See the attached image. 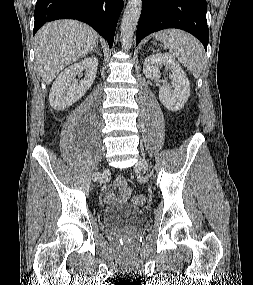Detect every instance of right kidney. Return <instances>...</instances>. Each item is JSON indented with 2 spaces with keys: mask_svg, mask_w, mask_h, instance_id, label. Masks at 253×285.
<instances>
[{
  "mask_svg": "<svg viewBox=\"0 0 253 285\" xmlns=\"http://www.w3.org/2000/svg\"><path fill=\"white\" fill-rule=\"evenodd\" d=\"M98 59L87 57L64 69L54 81L49 93L50 105L55 110H65L77 102L91 87L96 77ZM87 70L84 79L78 85L75 77Z\"/></svg>",
  "mask_w": 253,
  "mask_h": 285,
  "instance_id": "ca27d5eb",
  "label": "right kidney"
}]
</instances>
